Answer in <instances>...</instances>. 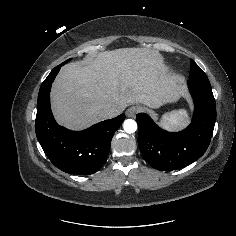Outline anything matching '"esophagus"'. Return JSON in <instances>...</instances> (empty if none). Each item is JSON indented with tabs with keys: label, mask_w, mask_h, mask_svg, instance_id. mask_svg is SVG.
<instances>
[{
	"label": "esophagus",
	"mask_w": 236,
	"mask_h": 236,
	"mask_svg": "<svg viewBox=\"0 0 236 236\" xmlns=\"http://www.w3.org/2000/svg\"><path fill=\"white\" fill-rule=\"evenodd\" d=\"M138 111H139V108L137 106H132L126 110V115L127 117H134Z\"/></svg>",
	"instance_id": "esophagus-1"
}]
</instances>
